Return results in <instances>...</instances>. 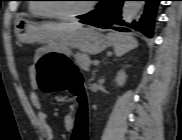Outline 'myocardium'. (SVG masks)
<instances>
[{
    "label": "myocardium",
    "mask_w": 182,
    "mask_h": 140,
    "mask_svg": "<svg viewBox=\"0 0 182 140\" xmlns=\"http://www.w3.org/2000/svg\"><path fill=\"white\" fill-rule=\"evenodd\" d=\"M50 1H55V0H50ZM48 8L52 16L60 19L70 20L79 18L89 13L92 9V3H88L83 9L73 13L64 12L63 10L60 9L59 5L56 3H49Z\"/></svg>",
    "instance_id": "myocardium-1"
}]
</instances>
